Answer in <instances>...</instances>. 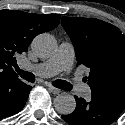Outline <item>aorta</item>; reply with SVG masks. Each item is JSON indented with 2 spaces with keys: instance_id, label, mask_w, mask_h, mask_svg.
<instances>
[{
  "instance_id": "1",
  "label": "aorta",
  "mask_w": 125,
  "mask_h": 125,
  "mask_svg": "<svg viewBox=\"0 0 125 125\" xmlns=\"http://www.w3.org/2000/svg\"><path fill=\"white\" fill-rule=\"evenodd\" d=\"M56 48L54 38L49 34H40L32 42L33 51L41 58L51 56ZM56 111L63 115L71 114L76 107L75 99L72 95L62 94L54 99Z\"/></svg>"
}]
</instances>
